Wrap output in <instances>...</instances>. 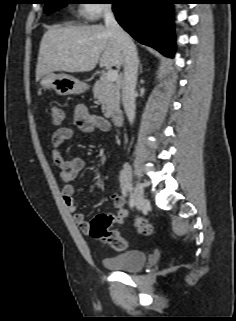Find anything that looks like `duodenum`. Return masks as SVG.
<instances>
[{
  "label": "duodenum",
  "instance_id": "1",
  "mask_svg": "<svg viewBox=\"0 0 236 321\" xmlns=\"http://www.w3.org/2000/svg\"><path fill=\"white\" fill-rule=\"evenodd\" d=\"M111 121L117 127L122 126L123 122H124V114H123V112L122 111H116V112L112 113Z\"/></svg>",
  "mask_w": 236,
  "mask_h": 321
}]
</instances>
